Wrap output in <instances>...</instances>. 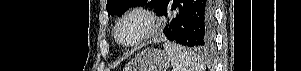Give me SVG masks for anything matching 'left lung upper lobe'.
<instances>
[{
	"label": "left lung upper lobe",
	"mask_w": 301,
	"mask_h": 71,
	"mask_svg": "<svg viewBox=\"0 0 301 71\" xmlns=\"http://www.w3.org/2000/svg\"><path fill=\"white\" fill-rule=\"evenodd\" d=\"M165 0H108L106 9L108 15L121 16L130 7L136 5H147L155 8L156 12L159 13L163 7Z\"/></svg>",
	"instance_id": "1"
}]
</instances>
